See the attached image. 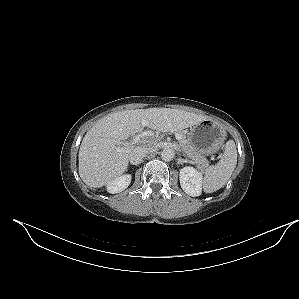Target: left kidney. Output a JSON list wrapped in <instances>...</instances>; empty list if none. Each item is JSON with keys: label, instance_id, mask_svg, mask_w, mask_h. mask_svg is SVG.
Returning a JSON list of instances; mask_svg holds the SVG:
<instances>
[{"label": "left kidney", "instance_id": "5707ae66", "mask_svg": "<svg viewBox=\"0 0 299 299\" xmlns=\"http://www.w3.org/2000/svg\"><path fill=\"white\" fill-rule=\"evenodd\" d=\"M180 185L185 193L192 197L201 195L202 173L193 167H184L180 170Z\"/></svg>", "mask_w": 299, "mask_h": 299}]
</instances>
